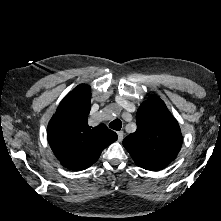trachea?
I'll list each match as a JSON object with an SVG mask.
<instances>
[{
	"label": "trachea",
	"instance_id": "1",
	"mask_svg": "<svg viewBox=\"0 0 221 221\" xmlns=\"http://www.w3.org/2000/svg\"><path fill=\"white\" fill-rule=\"evenodd\" d=\"M109 127L113 130H120L122 128V123L119 119H115L109 124Z\"/></svg>",
	"mask_w": 221,
	"mask_h": 221
}]
</instances>
